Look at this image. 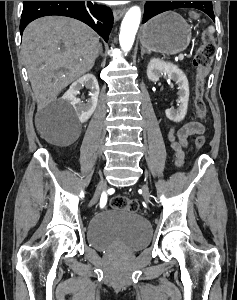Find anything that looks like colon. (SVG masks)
<instances>
[{"instance_id": "5ec220e1", "label": "colon", "mask_w": 237, "mask_h": 300, "mask_svg": "<svg viewBox=\"0 0 237 300\" xmlns=\"http://www.w3.org/2000/svg\"><path fill=\"white\" fill-rule=\"evenodd\" d=\"M194 18H198L196 13H193ZM216 54V44L213 37L208 32L202 36V42L196 51L193 63L197 70L196 75V90H195V105L197 115L204 120L207 114V108L204 102V82L209 73L210 66ZM205 144L204 134H200L195 139V147L197 150ZM111 207L118 210L128 212H136L139 208L138 202L134 199H129L124 196H114L111 199Z\"/></svg>"}]
</instances>
